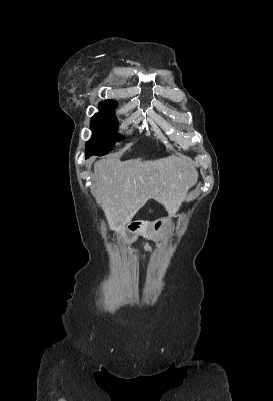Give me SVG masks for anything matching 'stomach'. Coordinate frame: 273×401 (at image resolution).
Masks as SVG:
<instances>
[{
  "mask_svg": "<svg viewBox=\"0 0 273 401\" xmlns=\"http://www.w3.org/2000/svg\"><path fill=\"white\" fill-rule=\"evenodd\" d=\"M170 219L162 217V219H157L153 223H146L144 229H142V235L144 237H149V239H162L164 237V231L169 223Z\"/></svg>",
  "mask_w": 273,
  "mask_h": 401,
  "instance_id": "stomach-1",
  "label": "stomach"
}]
</instances>
